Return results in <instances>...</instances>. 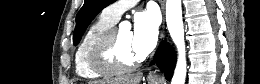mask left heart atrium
<instances>
[{
  "instance_id": "obj_1",
  "label": "left heart atrium",
  "mask_w": 260,
  "mask_h": 84,
  "mask_svg": "<svg viewBox=\"0 0 260 84\" xmlns=\"http://www.w3.org/2000/svg\"><path fill=\"white\" fill-rule=\"evenodd\" d=\"M159 20L153 11L136 14L132 31V45L136 55L144 58L156 46L158 40Z\"/></svg>"
}]
</instances>
